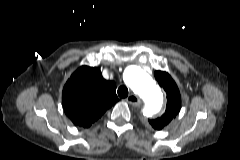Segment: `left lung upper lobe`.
<instances>
[{
  "mask_svg": "<svg viewBox=\"0 0 240 160\" xmlns=\"http://www.w3.org/2000/svg\"><path fill=\"white\" fill-rule=\"evenodd\" d=\"M154 75L166 92L167 105L165 113L161 117L149 119V123L155 130H161L178 114L181 107V96L176 83L167 72L156 71Z\"/></svg>",
  "mask_w": 240,
  "mask_h": 160,
  "instance_id": "left-lung-upper-lobe-1",
  "label": "left lung upper lobe"
}]
</instances>
